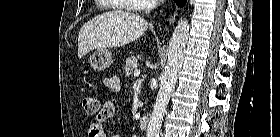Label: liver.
<instances>
[{
	"mask_svg": "<svg viewBox=\"0 0 280 137\" xmlns=\"http://www.w3.org/2000/svg\"><path fill=\"white\" fill-rule=\"evenodd\" d=\"M148 29L140 15L126 11H110L86 22L78 35V57L94 49L122 47L137 40Z\"/></svg>",
	"mask_w": 280,
	"mask_h": 137,
	"instance_id": "1",
	"label": "liver"
}]
</instances>
